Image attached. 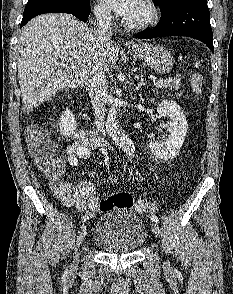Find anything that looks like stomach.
Segmentation results:
<instances>
[{
	"mask_svg": "<svg viewBox=\"0 0 233 294\" xmlns=\"http://www.w3.org/2000/svg\"><path fill=\"white\" fill-rule=\"evenodd\" d=\"M131 51L134 57L144 60L157 73H168L175 62L170 51L160 45L145 44Z\"/></svg>",
	"mask_w": 233,
	"mask_h": 294,
	"instance_id": "obj_1",
	"label": "stomach"
}]
</instances>
